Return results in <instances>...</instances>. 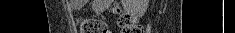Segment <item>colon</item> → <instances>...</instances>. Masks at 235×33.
Wrapping results in <instances>:
<instances>
[{"label": "colon", "mask_w": 235, "mask_h": 33, "mask_svg": "<svg viewBox=\"0 0 235 33\" xmlns=\"http://www.w3.org/2000/svg\"><path fill=\"white\" fill-rule=\"evenodd\" d=\"M118 24L122 29V33H142V27L137 23L136 19L129 14L122 13L119 9ZM78 27L80 33H111L108 25L95 18H79Z\"/></svg>", "instance_id": "1"}]
</instances>
